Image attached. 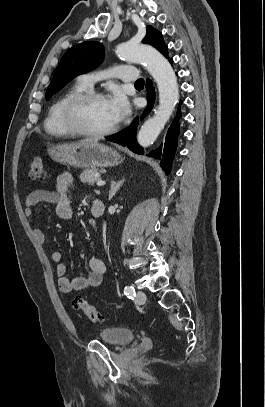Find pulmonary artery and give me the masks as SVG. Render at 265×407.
I'll use <instances>...</instances> for the list:
<instances>
[{
  "label": "pulmonary artery",
  "instance_id": "obj_1",
  "mask_svg": "<svg viewBox=\"0 0 265 407\" xmlns=\"http://www.w3.org/2000/svg\"><path fill=\"white\" fill-rule=\"evenodd\" d=\"M105 74L112 75L123 82H133L137 80L138 73L134 66L131 65H120L117 66L107 73L104 72H91L82 74L78 77V82L84 87H92L93 84L100 80Z\"/></svg>",
  "mask_w": 265,
  "mask_h": 407
}]
</instances>
